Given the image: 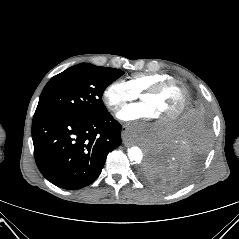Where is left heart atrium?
I'll return each mask as SVG.
<instances>
[{
  "mask_svg": "<svg viewBox=\"0 0 239 239\" xmlns=\"http://www.w3.org/2000/svg\"><path fill=\"white\" fill-rule=\"evenodd\" d=\"M118 118L125 122H134L138 120L148 121L155 119L149 106L144 102L132 103L125 106L119 113ZM137 131L142 130L138 127Z\"/></svg>",
  "mask_w": 239,
  "mask_h": 239,
  "instance_id": "obj_1",
  "label": "left heart atrium"
}]
</instances>
